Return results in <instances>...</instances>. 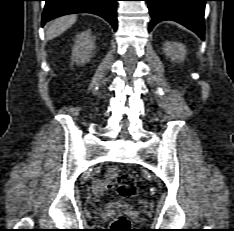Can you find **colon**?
Instances as JSON below:
<instances>
[{"instance_id":"5ec220e1","label":"colon","mask_w":234,"mask_h":231,"mask_svg":"<svg viewBox=\"0 0 234 231\" xmlns=\"http://www.w3.org/2000/svg\"><path fill=\"white\" fill-rule=\"evenodd\" d=\"M117 176V174H116ZM137 193V181L132 173L124 172L117 177V195L125 198H132ZM115 231H129L130 222L122 214H118L113 222Z\"/></svg>"}]
</instances>
